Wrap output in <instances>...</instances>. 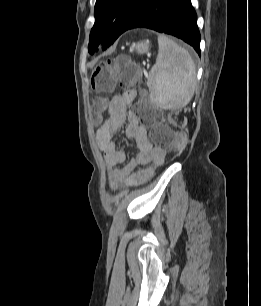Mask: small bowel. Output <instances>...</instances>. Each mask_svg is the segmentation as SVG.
<instances>
[{
	"label": "small bowel",
	"instance_id": "obj_1",
	"mask_svg": "<svg viewBox=\"0 0 261 306\" xmlns=\"http://www.w3.org/2000/svg\"><path fill=\"white\" fill-rule=\"evenodd\" d=\"M135 92H123L114 96L108 105V120L97 133V145L104 154L108 166H116L126 161V152L117 148L114 137L125 125L126 135L131 139L138 152L121 169L112 172L116 184L131 185L140 180L141 168L148 164L164 161L165 151L155 147L148 137L147 129L139 123L137 115L128 110L134 103Z\"/></svg>",
	"mask_w": 261,
	"mask_h": 306
}]
</instances>
